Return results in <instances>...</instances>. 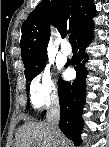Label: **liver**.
Instances as JSON below:
<instances>
[{
    "instance_id": "1",
    "label": "liver",
    "mask_w": 109,
    "mask_h": 147,
    "mask_svg": "<svg viewBox=\"0 0 109 147\" xmlns=\"http://www.w3.org/2000/svg\"><path fill=\"white\" fill-rule=\"evenodd\" d=\"M53 136L46 122H25L18 130L14 147H55ZM59 147H68L61 131L57 134Z\"/></svg>"
}]
</instances>
